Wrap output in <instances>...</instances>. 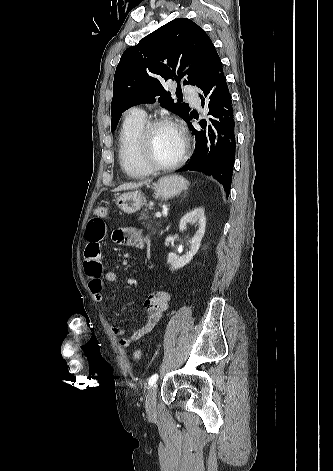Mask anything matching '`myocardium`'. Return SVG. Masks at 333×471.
<instances>
[{"instance_id": "obj_1", "label": "myocardium", "mask_w": 333, "mask_h": 471, "mask_svg": "<svg viewBox=\"0 0 333 471\" xmlns=\"http://www.w3.org/2000/svg\"><path fill=\"white\" fill-rule=\"evenodd\" d=\"M161 126H170L180 135L182 147L178 157L167 164L157 162L151 149V138L153 132ZM138 152L142 163L154 171H170L179 167L187 158L189 153V141L184 130L174 121L168 118H157L146 122L138 138Z\"/></svg>"}]
</instances>
